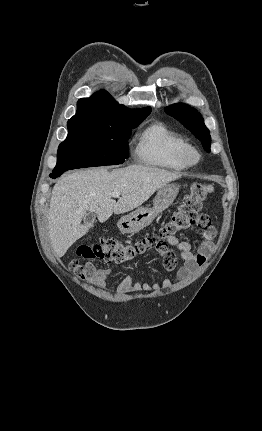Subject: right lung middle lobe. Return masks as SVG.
<instances>
[{
	"label": "right lung middle lobe",
	"instance_id": "dd1d6c3e",
	"mask_svg": "<svg viewBox=\"0 0 262 431\" xmlns=\"http://www.w3.org/2000/svg\"><path fill=\"white\" fill-rule=\"evenodd\" d=\"M147 116L68 124V135L59 145L53 172L122 164L128 157L131 130Z\"/></svg>",
	"mask_w": 262,
	"mask_h": 431
}]
</instances>
